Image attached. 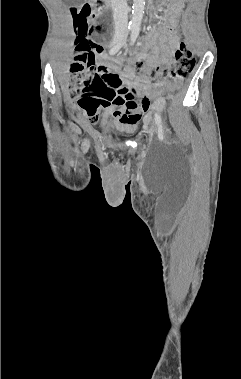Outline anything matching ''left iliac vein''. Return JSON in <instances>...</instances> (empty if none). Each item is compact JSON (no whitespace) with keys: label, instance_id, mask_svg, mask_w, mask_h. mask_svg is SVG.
Listing matches in <instances>:
<instances>
[{"label":"left iliac vein","instance_id":"4c4485c4","mask_svg":"<svg viewBox=\"0 0 241 379\" xmlns=\"http://www.w3.org/2000/svg\"><path fill=\"white\" fill-rule=\"evenodd\" d=\"M148 133L153 136L155 133H156V127L155 126H152L149 130H148Z\"/></svg>","mask_w":241,"mask_h":379}]
</instances>
